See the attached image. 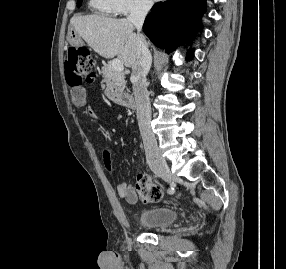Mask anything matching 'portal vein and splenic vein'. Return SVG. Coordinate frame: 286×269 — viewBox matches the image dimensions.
I'll list each match as a JSON object with an SVG mask.
<instances>
[{
	"mask_svg": "<svg viewBox=\"0 0 286 269\" xmlns=\"http://www.w3.org/2000/svg\"><path fill=\"white\" fill-rule=\"evenodd\" d=\"M112 66L117 71H123L124 70L123 62L119 59H114L112 61Z\"/></svg>",
	"mask_w": 286,
	"mask_h": 269,
	"instance_id": "portal-vein-and-splenic-vein-1",
	"label": "portal vein and splenic vein"
}]
</instances>
